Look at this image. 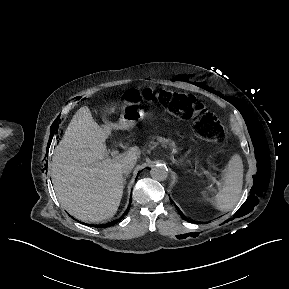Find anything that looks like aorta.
Listing matches in <instances>:
<instances>
[{
    "instance_id": "aorta-1",
    "label": "aorta",
    "mask_w": 289,
    "mask_h": 289,
    "mask_svg": "<svg viewBox=\"0 0 289 289\" xmlns=\"http://www.w3.org/2000/svg\"><path fill=\"white\" fill-rule=\"evenodd\" d=\"M150 175L154 180L164 181L168 177V169L163 164H156L151 168Z\"/></svg>"
}]
</instances>
